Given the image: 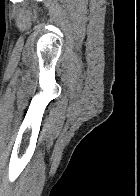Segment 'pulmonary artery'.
<instances>
[{
    "label": "pulmonary artery",
    "instance_id": "pulmonary-artery-1",
    "mask_svg": "<svg viewBox=\"0 0 140 196\" xmlns=\"http://www.w3.org/2000/svg\"><path fill=\"white\" fill-rule=\"evenodd\" d=\"M29 192H41V191H29Z\"/></svg>",
    "mask_w": 140,
    "mask_h": 196
}]
</instances>
